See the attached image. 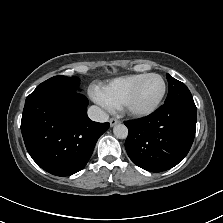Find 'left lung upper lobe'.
Returning <instances> with one entry per match:
<instances>
[{"instance_id": "5c2ea615", "label": "left lung upper lobe", "mask_w": 223, "mask_h": 223, "mask_svg": "<svg viewBox=\"0 0 223 223\" xmlns=\"http://www.w3.org/2000/svg\"><path fill=\"white\" fill-rule=\"evenodd\" d=\"M166 77L169 83V91L165 103L194 102L189 89L184 83L176 80L169 74Z\"/></svg>"}]
</instances>
